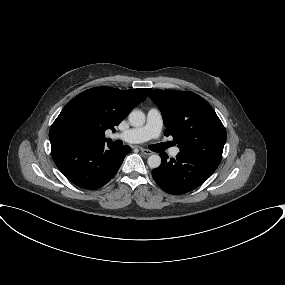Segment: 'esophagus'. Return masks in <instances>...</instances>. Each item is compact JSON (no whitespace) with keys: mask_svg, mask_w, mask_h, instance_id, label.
<instances>
[{"mask_svg":"<svg viewBox=\"0 0 285 285\" xmlns=\"http://www.w3.org/2000/svg\"><path fill=\"white\" fill-rule=\"evenodd\" d=\"M140 150H141V152H142L144 155H147V156L153 154L152 151H150V150H148V149H145V148H141Z\"/></svg>","mask_w":285,"mask_h":285,"instance_id":"34e87169","label":"esophagus"}]
</instances>
